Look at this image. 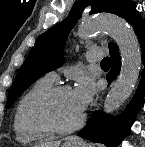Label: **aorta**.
Listing matches in <instances>:
<instances>
[{"label":"aorta","mask_w":145,"mask_h":147,"mask_svg":"<svg viewBox=\"0 0 145 147\" xmlns=\"http://www.w3.org/2000/svg\"><path fill=\"white\" fill-rule=\"evenodd\" d=\"M100 31H106L114 39L122 59L120 74L103 105V111L110 114L127 100L137 83L141 69V50L134 30L118 16L100 15L82 22L78 28L79 36L84 39Z\"/></svg>","instance_id":"aorta-1"}]
</instances>
